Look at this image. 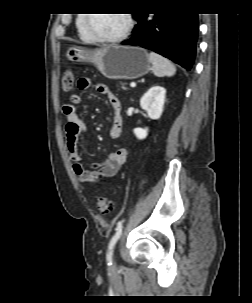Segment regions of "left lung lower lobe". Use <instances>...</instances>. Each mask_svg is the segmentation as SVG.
Returning <instances> with one entry per match:
<instances>
[{
    "mask_svg": "<svg viewBox=\"0 0 252 303\" xmlns=\"http://www.w3.org/2000/svg\"><path fill=\"white\" fill-rule=\"evenodd\" d=\"M133 36L124 45L155 51L187 70L193 66L199 30L196 13L139 14Z\"/></svg>",
    "mask_w": 252,
    "mask_h": 303,
    "instance_id": "left-lung-lower-lobe-1",
    "label": "left lung lower lobe"
}]
</instances>
